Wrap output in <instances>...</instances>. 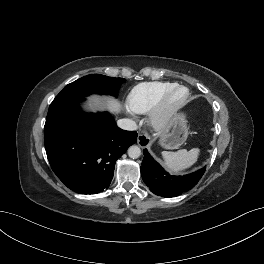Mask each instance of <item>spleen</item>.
Returning a JSON list of instances; mask_svg holds the SVG:
<instances>
[{
  "label": "spleen",
  "instance_id": "1",
  "mask_svg": "<svg viewBox=\"0 0 264 264\" xmlns=\"http://www.w3.org/2000/svg\"><path fill=\"white\" fill-rule=\"evenodd\" d=\"M199 154V148H193L189 151H187L186 149H181L177 152H164V164L170 172L180 173L183 170L191 167L194 163H196Z\"/></svg>",
  "mask_w": 264,
  "mask_h": 264
}]
</instances>
